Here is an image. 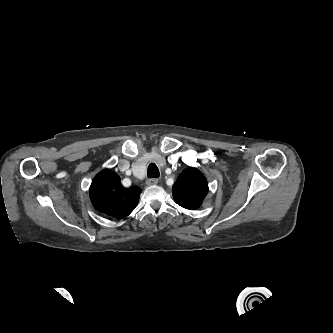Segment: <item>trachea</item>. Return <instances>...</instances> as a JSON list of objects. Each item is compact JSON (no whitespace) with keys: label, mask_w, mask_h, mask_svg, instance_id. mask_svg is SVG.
<instances>
[{"label":"trachea","mask_w":333,"mask_h":333,"mask_svg":"<svg viewBox=\"0 0 333 333\" xmlns=\"http://www.w3.org/2000/svg\"><path fill=\"white\" fill-rule=\"evenodd\" d=\"M147 176L148 178H157L160 176L159 169L154 163L148 166Z\"/></svg>","instance_id":"1"}]
</instances>
